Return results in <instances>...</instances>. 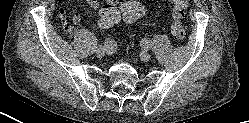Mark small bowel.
Returning a JSON list of instances; mask_svg holds the SVG:
<instances>
[{
  "instance_id": "1",
  "label": "small bowel",
  "mask_w": 249,
  "mask_h": 123,
  "mask_svg": "<svg viewBox=\"0 0 249 123\" xmlns=\"http://www.w3.org/2000/svg\"><path fill=\"white\" fill-rule=\"evenodd\" d=\"M85 1L91 8L93 9H97L99 6V0H83ZM169 2H171V0H167ZM105 4H109V3H114L116 2V0H104ZM58 18L62 24L63 29L66 32H71L72 27L70 25L67 24L66 22V13L63 9L59 10L58 12ZM72 22L74 24H80L82 22V17L79 13H74L72 16Z\"/></svg>"
}]
</instances>
